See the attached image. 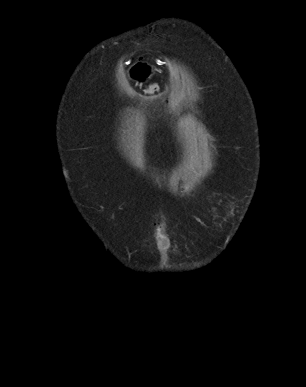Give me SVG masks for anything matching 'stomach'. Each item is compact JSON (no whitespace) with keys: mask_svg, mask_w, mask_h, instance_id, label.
Segmentation results:
<instances>
[{"mask_svg":"<svg viewBox=\"0 0 306 387\" xmlns=\"http://www.w3.org/2000/svg\"><path fill=\"white\" fill-rule=\"evenodd\" d=\"M127 73H130L131 77H134L135 82H154V75H146V66H127Z\"/></svg>","mask_w":306,"mask_h":387,"instance_id":"1","label":"stomach"}]
</instances>
